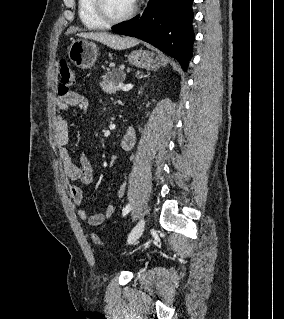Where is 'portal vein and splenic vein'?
<instances>
[{
	"mask_svg": "<svg viewBox=\"0 0 284 319\" xmlns=\"http://www.w3.org/2000/svg\"><path fill=\"white\" fill-rule=\"evenodd\" d=\"M119 87L123 91L127 92V91H129V90H131L133 88V85L132 84H127V85L120 84Z\"/></svg>",
	"mask_w": 284,
	"mask_h": 319,
	"instance_id": "obj_1",
	"label": "portal vein and splenic vein"
}]
</instances>
